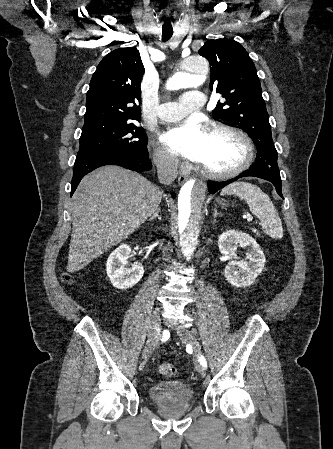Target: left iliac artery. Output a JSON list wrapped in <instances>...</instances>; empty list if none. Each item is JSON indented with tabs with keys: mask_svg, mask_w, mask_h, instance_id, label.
Instances as JSON below:
<instances>
[{
	"mask_svg": "<svg viewBox=\"0 0 333 449\" xmlns=\"http://www.w3.org/2000/svg\"><path fill=\"white\" fill-rule=\"evenodd\" d=\"M199 361L203 365V367H207V362H206L205 358L202 355L199 356Z\"/></svg>",
	"mask_w": 333,
	"mask_h": 449,
	"instance_id": "44dca946",
	"label": "left iliac artery"
}]
</instances>
